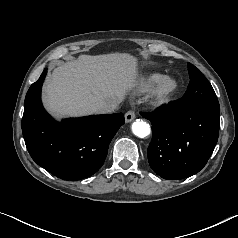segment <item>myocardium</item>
<instances>
[{
  "label": "myocardium",
  "mask_w": 238,
  "mask_h": 238,
  "mask_svg": "<svg viewBox=\"0 0 238 238\" xmlns=\"http://www.w3.org/2000/svg\"><path fill=\"white\" fill-rule=\"evenodd\" d=\"M179 89L178 81L172 76H163L151 88L150 98L155 105H164L172 101Z\"/></svg>",
  "instance_id": "1"
}]
</instances>
